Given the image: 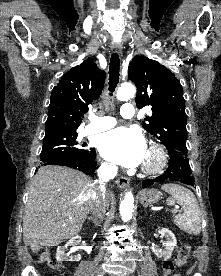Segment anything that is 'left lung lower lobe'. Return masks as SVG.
I'll return each instance as SVG.
<instances>
[{"mask_svg":"<svg viewBox=\"0 0 221 276\" xmlns=\"http://www.w3.org/2000/svg\"><path fill=\"white\" fill-rule=\"evenodd\" d=\"M168 169L155 179L143 181V188L151 186L154 182L180 181L185 184L194 185L191 168L187 156L180 154L169 155Z\"/></svg>","mask_w":221,"mask_h":276,"instance_id":"left-lung-lower-lobe-1","label":"left lung lower lobe"}]
</instances>
